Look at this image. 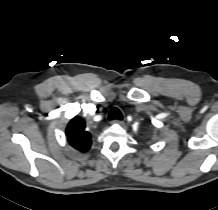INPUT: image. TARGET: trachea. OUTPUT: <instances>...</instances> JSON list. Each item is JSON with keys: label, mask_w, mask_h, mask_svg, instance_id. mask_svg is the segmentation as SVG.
<instances>
[{"label": "trachea", "mask_w": 218, "mask_h": 210, "mask_svg": "<svg viewBox=\"0 0 218 210\" xmlns=\"http://www.w3.org/2000/svg\"><path fill=\"white\" fill-rule=\"evenodd\" d=\"M115 119L122 120V113L116 107L112 108L109 113V120H115Z\"/></svg>", "instance_id": "3493384b"}]
</instances>
